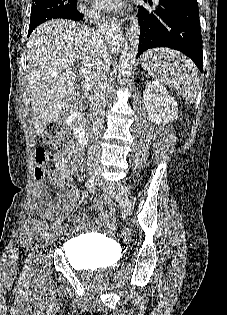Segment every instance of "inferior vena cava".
Returning <instances> with one entry per match:
<instances>
[{"label": "inferior vena cava", "mask_w": 227, "mask_h": 315, "mask_svg": "<svg viewBox=\"0 0 227 315\" xmlns=\"http://www.w3.org/2000/svg\"><path fill=\"white\" fill-rule=\"evenodd\" d=\"M85 16L94 24L99 21V13L96 9L85 11ZM110 71L109 55L99 59L91 75L89 100V116L91 121V147L90 153L98 150L97 137L103 129L105 118V96L108 87V73Z\"/></svg>", "instance_id": "inferior-vena-cava-1"}]
</instances>
